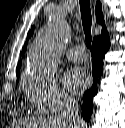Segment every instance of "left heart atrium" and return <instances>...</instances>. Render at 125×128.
<instances>
[{
	"label": "left heart atrium",
	"mask_w": 125,
	"mask_h": 128,
	"mask_svg": "<svg viewBox=\"0 0 125 128\" xmlns=\"http://www.w3.org/2000/svg\"><path fill=\"white\" fill-rule=\"evenodd\" d=\"M88 83V77L81 68H72L64 76V85L72 93H80Z\"/></svg>",
	"instance_id": "39dd6f15"
}]
</instances>
